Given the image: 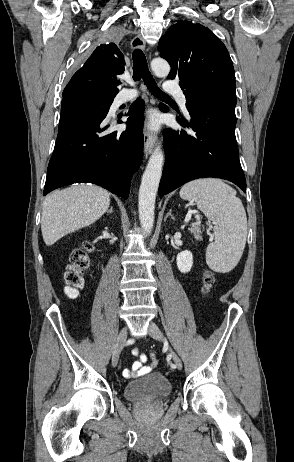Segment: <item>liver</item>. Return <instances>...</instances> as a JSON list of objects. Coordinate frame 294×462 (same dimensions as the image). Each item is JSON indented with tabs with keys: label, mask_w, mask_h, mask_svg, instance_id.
<instances>
[{
	"label": "liver",
	"mask_w": 294,
	"mask_h": 462,
	"mask_svg": "<svg viewBox=\"0 0 294 462\" xmlns=\"http://www.w3.org/2000/svg\"><path fill=\"white\" fill-rule=\"evenodd\" d=\"M109 205L110 194L93 185L74 186L47 196L41 216L45 244L51 246L63 236L93 224Z\"/></svg>",
	"instance_id": "6515ba94"
}]
</instances>
